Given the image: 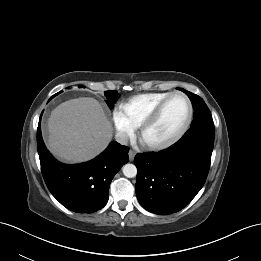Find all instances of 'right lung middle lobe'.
<instances>
[{"label": "right lung middle lobe", "instance_id": "right-lung-middle-lobe-1", "mask_svg": "<svg viewBox=\"0 0 261 261\" xmlns=\"http://www.w3.org/2000/svg\"><path fill=\"white\" fill-rule=\"evenodd\" d=\"M80 87H82V86H80ZM62 92V91H61ZM60 92H58L57 94H59ZM57 94H55V95H57ZM54 95V96H55ZM105 95H106V97H107V104H108V106L110 107V108H112L113 107V105H114V103L118 100V98H119V94L117 93V91L116 90H112V91H106L105 92Z\"/></svg>", "mask_w": 261, "mask_h": 261}]
</instances>
